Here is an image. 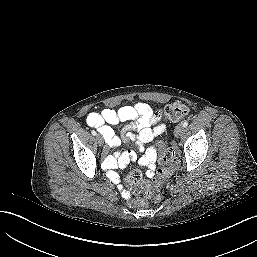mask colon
Segmentation results:
<instances>
[{"label": "colon", "instance_id": "colon-1", "mask_svg": "<svg viewBox=\"0 0 257 257\" xmlns=\"http://www.w3.org/2000/svg\"><path fill=\"white\" fill-rule=\"evenodd\" d=\"M163 116L171 122H180L189 114V108L180 102L166 105L162 110ZM161 156L158 177L152 182H146L139 171L131 172L127 177V184L136 194H141L135 200L137 206H146L151 201L159 200L161 197L162 181L170 174L172 167L176 163V154L173 148L168 147L165 142L160 144Z\"/></svg>", "mask_w": 257, "mask_h": 257}]
</instances>
